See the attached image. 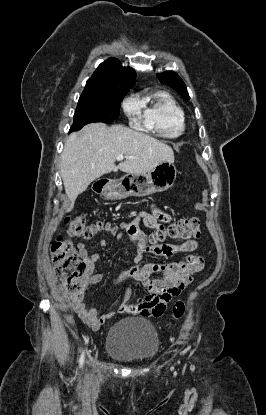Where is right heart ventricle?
<instances>
[{
    "label": "right heart ventricle",
    "mask_w": 266,
    "mask_h": 415,
    "mask_svg": "<svg viewBox=\"0 0 266 415\" xmlns=\"http://www.w3.org/2000/svg\"><path fill=\"white\" fill-rule=\"evenodd\" d=\"M143 125L160 136L174 138L185 130V113L166 92H155L139 99Z\"/></svg>",
    "instance_id": "e07e8e85"
}]
</instances>
